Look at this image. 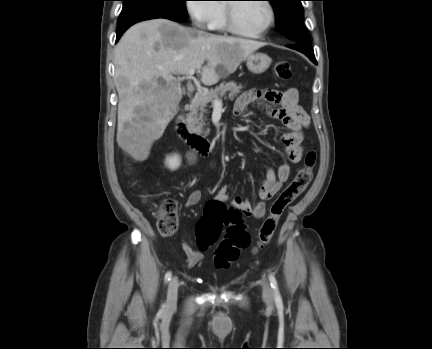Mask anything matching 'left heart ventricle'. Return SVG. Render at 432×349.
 I'll return each instance as SVG.
<instances>
[{
    "instance_id": "1",
    "label": "left heart ventricle",
    "mask_w": 432,
    "mask_h": 349,
    "mask_svg": "<svg viewBox=\"0 0 432 349\" xmlns=\"http://www.w3.org/2000/svg\"><path fill=\"white\" fill-rule=\"evenodd\" d=\"M269 9L264 2L238 3L235 19L238 27L247 32L264 29L269 21Z\"/></svg>"
}]
</instances>
